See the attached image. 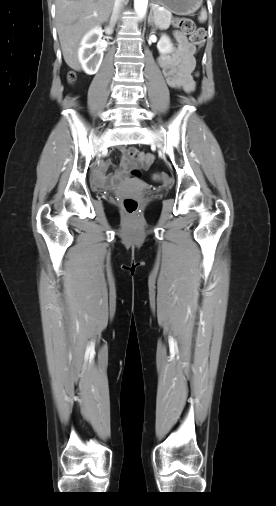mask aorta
Masks as SVG:
<instances>
[{
	"label": "aorta",
	"instance_id": "obj_1",
	"mask_svg": "<svg viewBox=\"0 0 276 506\" xmlns=\"http://www.w3.org/2000/svg\"><path fill=\"white\" fill-rule=\"evenodd\" d=\"M147 5L148 0H134V9L140 20L145 17Z\"/></svg>",
	"mask_w": 276,
	"mask_h": 506
}]
</instances>
